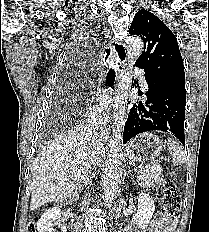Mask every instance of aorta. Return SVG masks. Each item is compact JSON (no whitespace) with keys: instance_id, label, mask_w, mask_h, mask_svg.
<instances>
[{"instance_id":"obj_1","label":"aorta","mask_w":209,"mask_h":232,"mask_svg":"<svg viewBox=\"0 0 209 232\" xmlns=\"http://www.w3.org/2000/svg\"><path fill=\"white\" fill-rule=\"evenodd\" d=\"M126 49L129 69L133 67L136 60L144 49V43L139 37H128ZM132 72L126 70L117 84V91L113 104L112 136L109 143V152L103 169V198L107 206H111L119 187V179L122 170V140L125 125V112L128 95L131 89Z\"/></svg>"}]
</instances>
